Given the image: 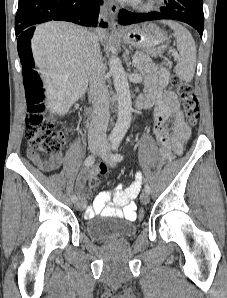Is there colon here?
Masks as SVG:
<instances>
[{"mask_svg":"<svg viewBox=\"0 0 227 298\" xmlns=\"http://www.w3.org/2000/svg\"><path fill=\"white\" fill-rule=\"evenodd\" d=\"M172 84L183 102L189 124L196 125L200 111L191 84L177 76L172 77ZM24 89L27 102L25 137L29 147L43 153L59 154L68 140L69 132L55 129L52 118L46 116L45 89L31 61L27 62L24 72ZM99 168L102 174L106 172L104 164H101ZM98 185V178H91L90 186L96 188ZM139 212V218H144L145 209L141 208Z\"/></svg>","mask_w":227,"mask_h":298,"instance_id":"5ec220e1","label":"colon"}]
</instances>
